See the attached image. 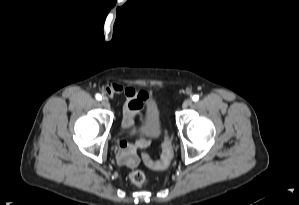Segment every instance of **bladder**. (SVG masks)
<instances>
[{
    "instance_id": "31cf9c89",
    "label": "bladder",
    "mask_w": 299,
    "mask_h": 205,
    "mask_svg": "<svg viewBox=\"0 0 299 205\" xmlns=\"http://www.w3.org/2000/svg\"><path fill=\"white\" fill-rule=\"evenodd\" d=\"M130 134L148 140L158 139L164 131L162 111L156 101L148 103L145 116L138 125L130 126Z\"/></svg>"
}]
</instances>
